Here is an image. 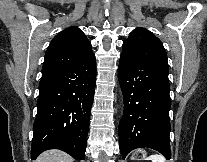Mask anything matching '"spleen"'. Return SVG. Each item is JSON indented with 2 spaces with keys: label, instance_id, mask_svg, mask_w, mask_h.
Returning a JSON list of instances; mask_svg holds the SVG:
<instances>
[{
  "label": "spleen",
  "instance_id": "obj_1",
  "mask_svg": "<svg viewBox=\"0 0 207 162\" xmlns=\"http://www.w3.org/2000/svg\"><path fill=\"white\" fill-rule=\"evenodd\" d=\"M144 160H151L152 162H166V159L164 156L162 155H151L147 158H144Z\"/></svg>",
  "mask_w": 207,
  "mask_h": 162
}]
</instances>
